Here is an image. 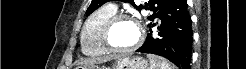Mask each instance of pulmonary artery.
Wrapping results in <instances>:
<instances>
[{"instance_id": "obj_1", "label": "pulmonary artery", "mask_w": 246, "mask_h": 69, "mask_svg": "<svg viewBox=\"0 0 246 69\" xmlns=\"http://www.w3.org/2000/svg\"><path fill=\"white\" fill-rule=\"evenodd\" d=\"M112 7L116 8V6L114 4H110Z\"/></svg>"}]
</instances>
